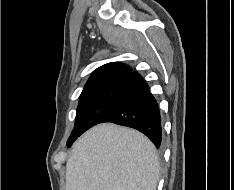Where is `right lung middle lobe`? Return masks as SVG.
Masks as SVG:
<instances>
[{
    "mask_svg": "<svg viewBox=\"0 0 234 190\" xmlns=\"http://www.w3.org/2000/svg\"><path fill=\"white\" fill-rule=\"evenodd\" d=\"M125 79L84 89L79 97L74 129L68 141L79 137L92 126L100 123L120 95Z\"/></svg>",
    "mask_w": 234,
    "mask_h": 190,
    "instance_id": "obj_1",
    "label": "right lung middle lobe"
}]
</instances>
